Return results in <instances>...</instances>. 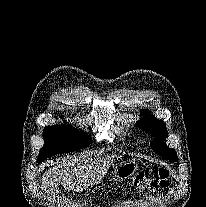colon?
Here are the masks:
<instances>
[{
    "instance_id": "colon-1",
    "label": "colon",
    "mask_w": 206,
    "mask_h": 207,
    "mask_svg": "<svg viewBox=\"0 0 206 207\" xmlns=\"http://www.w3.org/2000/svg\"><path fill=\"white\" fill-rule=\"evenodd\" d=\"M137 191H159L168 186V172L162 167H149L140 171L132 182Z\"/></svg>"
}]
</instances>
